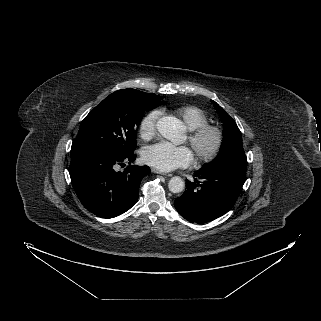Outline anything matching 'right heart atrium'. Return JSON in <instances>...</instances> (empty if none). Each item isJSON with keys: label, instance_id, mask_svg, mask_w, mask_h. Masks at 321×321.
Here are the masks:
<instances>
[{"label": "right heart atrium", "instance_id": "right-heart-atrium-1", "mask_svg": "<svg viewBox=\"0 0 321 321\" xmlns=\"http://www.w3.org/2000/svg\"><path fill=\"white\" fill-rule=\"evenodd\" d=\"M159 115V111L155 110L144 116L139 126V134L142 139L149 140L155 135Z\"/></svg>", "mask_w": 321, "mask_h": 321}]
</instances>
